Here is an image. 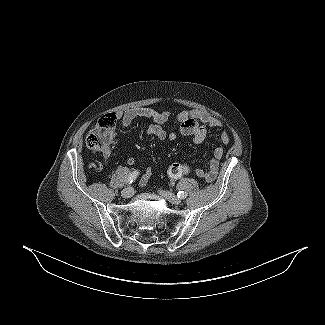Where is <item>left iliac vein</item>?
Instances as JSON below:
<instances>
[{"label":"left iliac vein","mask_w":325,"mask_h":325,"mask_svg":"<svg viewBox=\"0 0 325 325\" xmlns=\"http://www.w3.org/2000/svg\"><path fill=\"white\" fill-rule=\"evenodd\" d=\"M159 193L162 197L167 199L172 204H179L181 202V200L177 196H175L174 194H172L168 191L159 190Z\"/></svg>","instance_id":"4c4485c4"}]
</instances>
